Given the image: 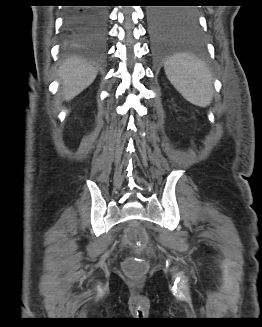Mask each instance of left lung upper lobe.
Segmentation results:
<instances>
[{"label":"left lung upper lobe","instance_id":"5c2ea615","mask_svg":"<svg viewBox=\"0 0 262 327\" xmlns=\"http://www.w3.org/2000/svg\"><path fill=\"white\" fill-rule=\"evenodd\" d=\"M190 14H191V16H193V17H196V16H197V14H196V12H195L194 10H191V11H190Z\"/></svg>","mask_w":262,"mask_h":327}]
</instances>
